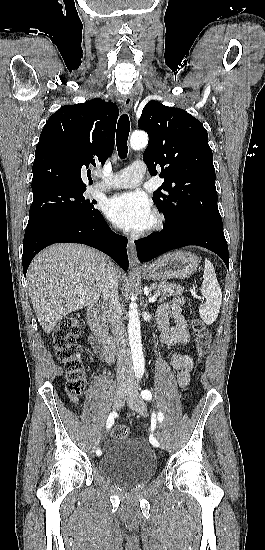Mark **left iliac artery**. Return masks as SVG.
Returning a JSON list of instances; mask_svg holds the SVG:
<instances>
[{"label":"left iliac artery","mask_w":265,"mask_h":550,"mask_svg":"<svg viewBox=\"0 0 265 550\" xmlns=\"http://www.w3.org/2000/svg\"><path fill=\"white\" fill-rule=\"evenodd\" d=\"M141 396H142L143 399H145V400H147V401H149V400L152 399V394H151V392H150L149 390H143V391L141 392ZM157 418H158V421H159V422H162V421H163L164 415H163V413H162L161 411L158 412ZM149 440H150V443H151L153 446L159 447V443H158V441L153 437V435H150Z\"/></svg>","instance_id":"1"}]
</instances>
